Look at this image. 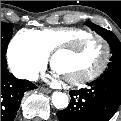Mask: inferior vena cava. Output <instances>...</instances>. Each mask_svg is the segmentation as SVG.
<instances>
[{
  "mask_svg": "<svg viewBox=\"0 0 121 121\" xmlns=\"http://www.w3.org/2000/svg\"><path fill=\"white\" fill-rule=\"evenodd\" d=\"M14 75L19 79H27L30 81H36L38 78V73L36 71L27 72L23 70H16L14 71Z\"/></svg>",
  "mask_w": 121,
  "mask_h": 121,
  "instance_id": "obj_1",
  "label": "inferior vena cava"
}]
</instances>
